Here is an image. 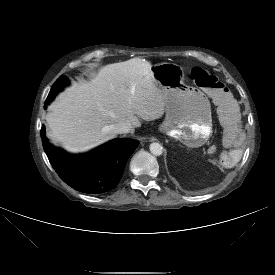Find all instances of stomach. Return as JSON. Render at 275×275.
Segmentation results:
<instances>
[{
	"mask_svg": "<svg viewBox=\"0 0 275 275\" xmlns=\"http://www.w3.org/2000/svg\"><path fill=\"white\" fill-rule=\"evenodd\" d=\"M151 73L166 112L160 132L190 148L205 144L212 134L211 106L206 95L184 83V70L177 64L153 65Z\"/></svg>",
	"mask_w": 275,
	"mask_h": 275,
	"instance_id": "obj_1",
	"label": "stomach"
}]
</instances>
